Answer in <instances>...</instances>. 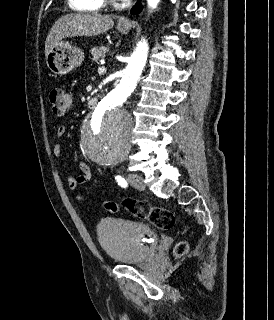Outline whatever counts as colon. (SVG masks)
Instances as JSON below:
<instances>
[{
    "label": "colon",
    "instance_id": "obj_1",
    "mask_svg": "<svg viewBox=\"0 0 274 320\" xmlns=\"http://www.w3.org/2000/svg\"><path fill=\"white\" fill-rule=\"evenodd\" d=\"M49 102L55 116H63L71 106V98L69 93L63 87H54L50 89ZM123 206L135 216L148 219L154 226L158 228H170L174 223L173 214L163 208L154 207L149 202L144 201H126ZM103 209L119 213L118 205L112 201H103ZM188 249L185 241H179L176 245L178 254H184Z\"/></svg>",
    "mask_w": 274,
    "mask_h": 320
}]
</instances>
